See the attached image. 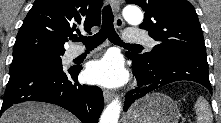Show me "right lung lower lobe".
<instances>
[{"label":"right lung lower lobe","instance_id":"right-lung-lower-lobe-1","mask_svg":"<svg viewBox=\"0 0 221 123\" xmlns=\"http://www.w3.org/2000/svg\"><path fill=\"white\" fill-rule=\"evenodd\" d=\"M80 69L40 65L10 71L1 110L24 101L59 105L83 123H97L103 107V93L97 86L77 81Z\"/></svg>","mask_w":221,"mask_h":123}]
</instances>
